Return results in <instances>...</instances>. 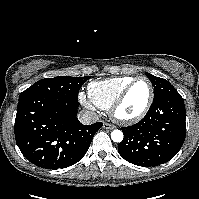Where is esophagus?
<instances>
[{
    "instance_id": "obj_1",
    "label": "esophagus",
    "mask_w": 199,
    "mask_h": 199,
    "mask_svg": "<svg viewBox=\"0 0 199 199\" xmlns=\"http://www.w3.org/2000/svg\"><path fill=\"white\" fill-rule=\"evenodd\" d=\"M103 128L112 130V129L115 128V125H112V124H110V123H104V124H103Z\"/></svg>"
}]
</instances>
